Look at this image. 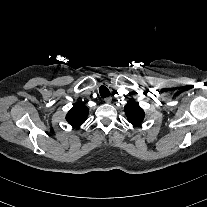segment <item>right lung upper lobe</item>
Masks as SVG:
<instances>
[{
    "instance_id": "obj_1",
    "label": "right lung upper lobe",
    "mask_w": 207,
    "mask_h": 207,
    "mask_svg": "<svg viewBox=\"0 0 207 207\" xmlns=\"http://www.w3.org/2000/svg\"><path fill=\"white\" fill-rule=\"evenodd\" d=\"M88 112V108L83 103H78L67 113L66 120L72 126L79 127L85 122Z\"/></svg>"
}]
</instances>
